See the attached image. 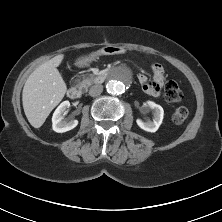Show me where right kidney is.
Segmentation results:
<instances>
[{
  "instance_id": "obj_1",
  "label": "right kidney",
  "mask_w": 222,
  "mask_h": 222,
  "mask_svg": "<svg viewBox=\"0 0 222 222\" xmlns=\"http://www.w3.org/2000/svg\"><path fill=\"white\" fill-rule=\"evenodd\" d=\"M70 107L69 101L62 102L52 116V128L57 133L67 132L78 125L77 120L64 119L66 109Z\"/></svg>"
}]
</instances>
